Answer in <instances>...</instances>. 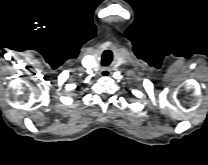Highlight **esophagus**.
Instances as JSON below:
<instances>
[{
	"label": "esophagus",
	"mask_w": 208,
	"mask_h": 165,
	"mask_svg": "<svg viewBox=\"0 0 208 165\" xmlns=\"http://www.w3.org/2000/svg\"><path fill=\"white\" fill-rule=\"evenodd\" d=\"M102 77H108L110 75V71L108 69H103L100 73Z\"/></svg>",
	"instance_id": "esophagus-1"
}]
</instances>
